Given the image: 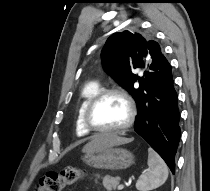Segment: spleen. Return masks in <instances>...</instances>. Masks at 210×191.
Wrapping results in <instances>:
<instances>
[{"label": "spleen", "mask_w": 210, "mask_h": 191, "mask_svg": "<svg viewBox=\"0 0 210 191\" xmlns=\"http://www.w3.org/2000/svg\"><path fill=\"white\" fill-rule=\"evenodd\" d=\"M148 166L150 170L143 173L136 182L139 191L154 190L165 183L168 168L164 160L152 149H148Z\"/></svg>", "instance_id": "spleen-1"}]
</instances>
